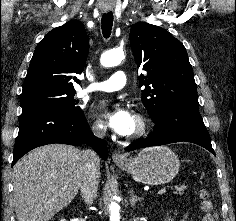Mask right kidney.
<instances>
[{
	"label": "right kidney",
	"mask_w": 236,
	"mask_h": 221,
	"mask_svg": "<svg viewBox=\"0 0 236 221\" xmlns=\"http://www.w3.org/2000/svg\"><path fill=\"white\" fill-rule=\"evenodd\" d=\"M61 221H66L65 219H62Z\"/></svg>",
	"instance_id": "right-kidney-1"
}]
</instances>
